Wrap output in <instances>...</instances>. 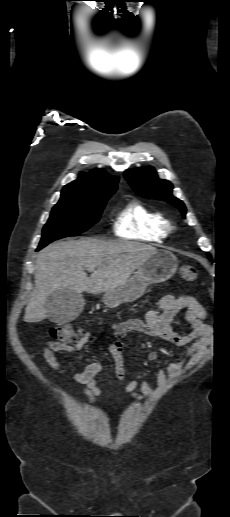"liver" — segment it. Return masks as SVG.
I'll use <instances>...</instances> for the list:
<instances>
[{"label": "liver", "mask_w": 230, "mask_h": 517, "mask_svg": "<svg viewBox=\"0 0 230 517\" xmlns=\"http://www.w3.org/2000/svg\"><path fill=\"white\" fill-rule=\"evenodd\" d=\"M156 248L129 241L93 238L56 242L42 249L35 263V288L25 309L24 321L48 317L46 301L56 291L99 294L123 285ZM94 266L88 277L85 269Z\"/></svg>", "instance_id": "obj_1"}]
</instances>
